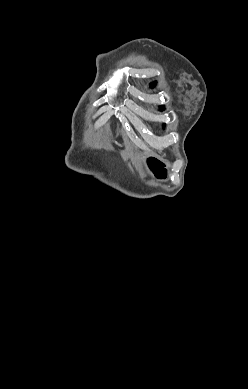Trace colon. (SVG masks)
<instances>
[{"instance_id": "colon-1", "label": "colon", "mask_w": 248, "mask_h": 389, "mask_svg": "<svg viewBox=\"0 0 248 389\" xmlns=\"http://www.w3.org/2000/svg\"><path fill=\"white\" fill-rule=\"evenodd\" d=\"M146 162L158 170L163 166V163L159 161L158 157H148Z\"/></svg>"}]
</instances>
